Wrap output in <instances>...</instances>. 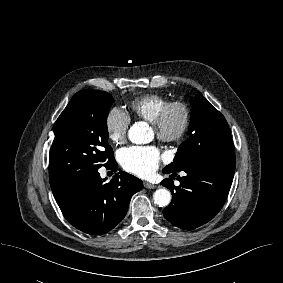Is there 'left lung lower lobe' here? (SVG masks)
Returning a JSON list of instances; mask_svg holds the SVG:
<instances>
[{
	"label": "left lung lower lobe",
	"instance_id": "1",
	"mask_svg": "<svg viewBox=\"0 0 283 283\" xmlns=\"http://www.w3.org/2000/svg\"><path fill=\"white\" fill-rule=\"evenodd\" d=\"M235 157L219 162H203L163 173L172 176L161 184L172 193L171 203L163 210L165 218L173 225L193 230L216 216L228 196L235 172ZM183 171L185 176H177ZM180 182L174 186L172 179Z\"/></svg>",
	"mask_w": 283,
	"mask_h": 283
}]
</instances>
